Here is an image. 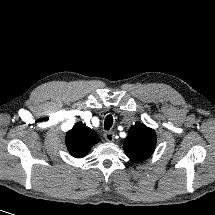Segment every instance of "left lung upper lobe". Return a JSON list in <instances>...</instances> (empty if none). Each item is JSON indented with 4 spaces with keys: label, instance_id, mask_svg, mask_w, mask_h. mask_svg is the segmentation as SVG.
<instances>
[{
    "label": "left lung upper lobe",
    "instance_id": "obj_1",
    "mask_svg": "<svg viewBox=\"0 0 215 215\" xmlns=\"http://www.w3.org/2000/svg\"><path fill=\"white\" fill-rule=\"evenodd\" d=\"M155 146V131L142 123H137L130 127L123 149L133 162L141 163L152 155Z\"/></svg>",
    "mask_w": 215,
    "mask_h": 215
}]
</instances>
